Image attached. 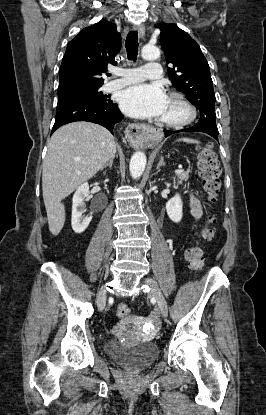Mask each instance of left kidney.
<instances>
[{"mask_svg":"<svg viewBox=\"0 0 266 415\" xmlns=\"http://www.w3.org/2000/svg\"><path fill=\"white\" fill-rule=\"evenodd\" d=\"M182 208L183 204L179 194H176L166 203L167 214L169 218L175 223L180 222L182 219Z\"/></svg>","mask_w":266,"mask_h":415,"instance_id":"5707ae66","label":"left kidney"}]
</instances>
